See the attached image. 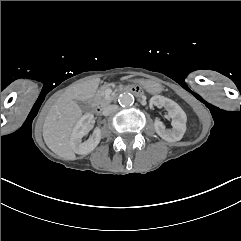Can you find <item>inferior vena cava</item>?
<instances>
[{"label":"inferior vena cava","mask_w":241,"mask_h":241,"mask_svg":"<svg viewBox=\"0 0 241 241\" xmlns=\"http://www.w3.org/2000/svg\"><path fill=\"white\" fill-rule=\"evenodd\" d=\"M118 109L117 105H108L103 109V115L104 116H108L110 115L112 112L116 111Z\"/></svg>","instance_id":"obj_1"}]
</instances>
